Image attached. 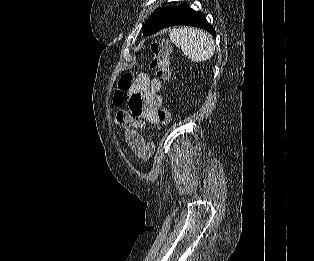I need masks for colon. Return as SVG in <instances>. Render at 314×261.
<instances>
[{
    "instance_id": "5ec220e1",
    "label": "colon",
    "mask_w": 314,
    "mask_h": 261,
    "mask_svg": "<svg viewBox=\"0 0 314 261\" xmlns=\"http://www.w3.org/2000/svg\"><path fill=\"white\" fill-rule=\"evenodd\" d=\"M170 45L166 40H155L151 43V57L149 66L156 68L157 77L162 80H168L170 77ZM133 85V78L130 73L124 74L118 83L119 94L117 99L123 98V92L130 90ZM158 119L162 126L170 122V113L166 107H161L157 112Z\"/></svg>"
}]
</instances>
